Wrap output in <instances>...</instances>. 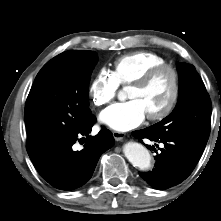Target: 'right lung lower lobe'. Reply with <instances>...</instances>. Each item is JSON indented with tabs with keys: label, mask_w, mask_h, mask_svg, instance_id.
Returning a JSON list of instances; mask_svg holds the SVG:
<instances>
[{
	"label": "right lung lower lobe",
	"mask_w": 221,
	"mask_h": 221,
	"mask_svg": "<svg viewBox=\"0 0 221 221\" xmlns=\"http://www.w3.org/2000/svg\"><path fill=\"white\" fill-rule=\"evenodd\" d=\"M95 116L69 138H45L27 141L30 159L39 174L53 187L73 190L85 184L92 176L99 157L114 145V138L108 129H102L96 136H89ZM84 148L75 151L76 141Z\"/></svg>",
	"instance_id": "obj_1"
}]
</instances>
